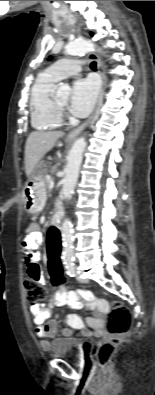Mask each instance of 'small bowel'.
Segmentation results:
<instances>
[{
	"label": "small bowel",
	"instance_id": "c3829d8e",
	"mask_svg": "<svg viewBox=\"0 0 155 395\" xmlns=\"http://www.w3.org/2000/svg\"><path fill=\"white\" fill-rule=\"evenodd\" d=\"M41 239L40 234L36 230H31L28 237L22 241L21 251L25 257L27 265V273L29 277L37 279L41 284L45 282L42 271L38 265L40 260V253L36 250V246ZM68 288V289H67ZM66 287L56 288L52 298L47 305L38 303L32 305L30 308L33 315V323L35 325V333L40 340V345L44 350L50 348V339L55 335L57 329V320L60 318L56 314L55 320L48 321L52 310L55 307L69 305L71 308L80 309L84 305L88 309L99 311L100 315H110L112 309L111 300H106L105 296H98L93 298L92 294L86 290L75 291L72 290L74 285L69 283ZM68 325L64 328L62 335L69 338L73 334V330H78L82 335L87 332L85 330L84 322L80 316L76 314H69L65 317ZM87 325L93 330L94 335H100L103 330V320L100 316L88 317L86 319Z\"/></svg>",
	"mask_w": 155,
	"mask_h": 395
}]
</instances>
